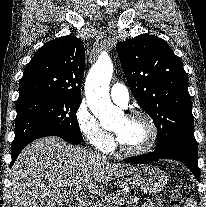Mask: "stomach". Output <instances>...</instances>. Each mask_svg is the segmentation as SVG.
I'll return each mask as SVG.
<instances>
[{"instance_id":"stomach-1","label":"stomach","mask_w":206,"mask_h":207,"mask_svg":"<svg viewBox=\"0 0 206 207\" xmlns=\"http://www.w3.org/2000/svg\"><path fill=\"white\" fill-rule=\"evenodd\" d=\"M126 181L137 191L153 195L159 193L166 187L167 176L160 168L145 165L136 167Z\"/></svg>"}]
</instances>
